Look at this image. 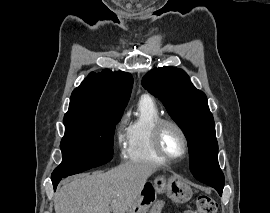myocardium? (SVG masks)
<instances>
[{"mask_svg": "<svg viewBox=\"0 0 270 213\" xmlns=\"http://www.w3.org/2000/svg\"><path fill=\"white\" fill-rule=\"evenodd\" d=\"M168 126L175 128L179 132V134L183 140L184 150H183V153L178 157H172V156L168 155L164 151L163 146H162V135H163L164 130ZM152 144H153V148H154L155 152L162 159H164L166 162L180 161V160L186 158L187 155L189 154V140H188L187 134H186L185 130L183 129V127L178 122H176L172 119L161 118L155 124L153 131H152Z\"/></svg>", "mask_w": 270, "mask_h": 213, "instance_id": "obj_1", "label": "myocardium"}]
</instances>
